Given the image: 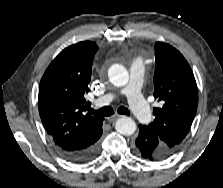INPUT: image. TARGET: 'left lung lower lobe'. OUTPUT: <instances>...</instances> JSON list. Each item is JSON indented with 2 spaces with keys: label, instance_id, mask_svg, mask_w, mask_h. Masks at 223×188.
<instances>
[{
  "label": "left lung lower lobe",
  "instance_id": "left-lung-lower-lobe-1",
  "mask_svg": "<svg viewBox=\"0 0 223 188\" xmlns=\"http://www.w3.org/2000/svg\"><path fill=\"white\" fill-rule=\"evenodd\" d=\"M139 129V135L134 146V151L137 155L148 160H162L171 155L160 143L156 134L147 126L139 125Z\"/></svg>",
  "mask_w": 223,
  "mask_h": 188
}]
</instances>
